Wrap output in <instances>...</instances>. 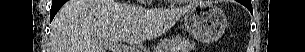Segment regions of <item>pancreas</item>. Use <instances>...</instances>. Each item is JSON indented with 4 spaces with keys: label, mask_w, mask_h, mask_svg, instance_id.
<instances>
[{
    "label": "pancreas",
    "mask_w": 305,
    "mask_h": 52,
    "mask_svg": "<svg viewBox=\"0 0 305 52\" xmlns=\"http://www.w3.org/2000/svg\"><path fill=\"white\" fill-rule=\"evenodd\" d=\"M164 48L166 52H190L194 45L188 38L176 35L167 39Z\"/></svg>",
    "instance_id": "1"
}]
</instances>
